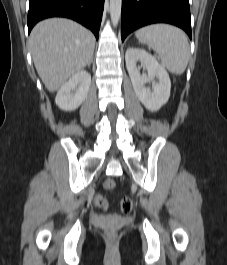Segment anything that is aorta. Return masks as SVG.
<instances>
[{
	"label": "aorta",
	"mask_w": 227,
	"mask_h": 265,
	"mask_svg": "<svg viewBox=\"0 0 227 265\" xmlns=\"http://www.w3.org/2000/svg\"><path fill=\"white\" fill-rule=\"evenodd\" d=\"M122 0H110V17L114 27L117 26L121 16Z\"/></svg>",
	"instance_id": "1"
}]
</instances>
